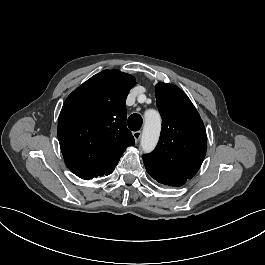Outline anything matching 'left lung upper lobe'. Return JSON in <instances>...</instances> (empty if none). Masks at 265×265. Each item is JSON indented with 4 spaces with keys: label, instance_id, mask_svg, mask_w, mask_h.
Masks as SVG:
<instances>
[{
    "label": "left lung upper lobe",
    "instance_id": "obj_1",
    "mask_svg": "<svg viewBox=\"0 0 265 265\" xmlns=\"http://www.w3.org/2000/svg\"><path fill=\"white\" fill-rule=\"evenodd\" d=\"M155 95L162 130L155 150L143 155V161L152 178L179 187L202 165L207 149L205 127L190 99L177 86L158 83Z\"/></svg>",
    "mask_w": 265,
    "mask_h": 265
}]
</instances>
